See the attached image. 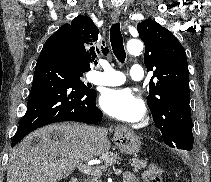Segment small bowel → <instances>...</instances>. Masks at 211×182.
<instances>
[{"mask_svg": "<svg viewBox=\"0 0 211 182\" xmlns=\"http://www.w3.org/2000/svg\"><path fill=\"white\" fill-rule=\"evenodd\" d=\"M124 182H138V181L132 173L126 172L124 174Z\"/></svg>", "mask_w": 211, "mask_h": 182, "instance_id": "c3829d8e", "label": "small bowel"}]
</instances>
